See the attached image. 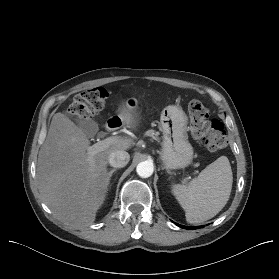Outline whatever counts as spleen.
<instances>
[{
	"mask_svg": "<svg viewBox=\"0 0 279 279\" xmlns=\"http://www.w3.org/2000/svg\"><path fill=\"white\" fill-rule=\"evenodd\" d=\"M232 183L230 162L226 156H221L188 185H174L172 193L185 210L186 221L199 224L213 218L224 208Z\"/></svg>",
	"mask_w": 279,
	"mask_h": 279,
	"instance_id": "1",
	"label": "spleen"
}]
</instances>
